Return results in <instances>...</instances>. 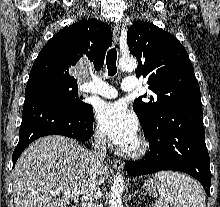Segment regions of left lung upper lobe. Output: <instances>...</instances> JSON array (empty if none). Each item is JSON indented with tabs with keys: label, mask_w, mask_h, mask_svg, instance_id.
<instances>
[{
	"label": "left lung upper lobe",
	"mask_w": 220,
	"mask_h": 207,
	"mask_svg": "<svg viewBox=\"0 0 220 207\" xmlns=\"http://www.w3.org/2000/svg\"><path fill=\"white\" fill-rule=\"evenodd\" d=\"M127 44L138 61L136 75L148 77L154 92L148 102L139 97L133 104L144 132L177 107L201 103L193 66L176 37L152 23L136 21L128 29Z\"/></svg>",
	"instance_id": "left-lung-upper-lobe-1"
}]
</instances>
